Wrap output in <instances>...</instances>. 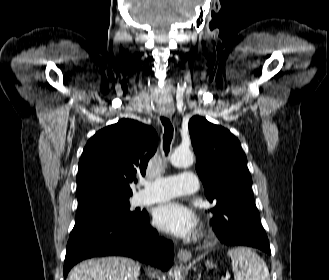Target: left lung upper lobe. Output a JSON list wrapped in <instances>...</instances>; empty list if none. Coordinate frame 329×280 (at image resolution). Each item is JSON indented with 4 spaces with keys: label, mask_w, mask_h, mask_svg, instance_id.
<instances>
[{
    "label": "left lung upper lobe",
    "mask_w": 329,
    "mask_h": 280,
    "mask_svg": "<svg viewBox=\"0 0 329 280\" xmlns=\"http://www.w3.org/2000/svg\"><path fill=\"white\" fill-rule=\"evenodd\" d=\"M189 133L197 155L196 170L209 202L216 206L208 212L217 235L226 218L244 201L251 199V175L247 158L238 139L226 128L193 116Z\"/></svg>",
    "instance_id": "1"
}]
</instances>
